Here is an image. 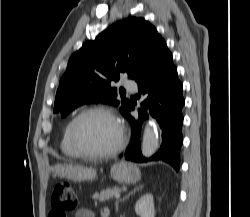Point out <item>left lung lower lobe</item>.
Listing matches in <instances>:
<instances>
[{
	"label": "left lung lower lobe",
	"mask_w": 250,
	"mask_h": 217,
	"mask_svg": "<svg viewBox=\"0 0 250 217\" xmlns=\"http://www.w3.org/2000/svg\"><path fill=\"white\" fill-rule=\"evenodd\" d=\"M138 83L139 95L144 97L142 108L138 109L139 118L131 116L134 106L128 108L125 118L132 127V143L125 152L127 160L144 162L162 160L178 171L180 164V147L183 142L182 83L177 76L171 52L164 39L159 43L150 65L135 79ZM151 115L162 129V144L159 150L149 159L142 156L139 140L142 122Z\"/></svg>",
	"instance_id": "left-lung-lower-lobe-1"
}]
</instances>
